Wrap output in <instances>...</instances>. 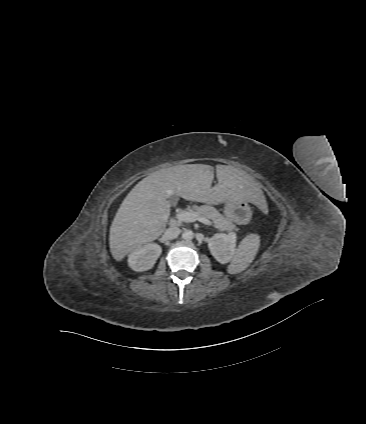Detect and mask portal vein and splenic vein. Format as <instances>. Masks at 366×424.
<instances>
[{
  "label": "portal vein and splenic vein",
  "mask_w": 366,
  "mask_h": 424,
  "mask_svg": "<svg viewBox=\"0 0 366 424\" xmlns=\"http://www.w3.org/2000/svg\"><path fill=\"white\" fill-rule=\"evenodd\" d=\"M175 218L178 221H181V222L190 223V222L199 221V222H201L203 224H206V225H210L211 224V222H210V220L208 218L203 217V216H201V215H199L196 212L191 211V210H189V211H182V212L176 214L175 215Z\"/></svg>",
  "instance_id": "portal-vein-and-splenic-vein-1"
}]
</instances>
